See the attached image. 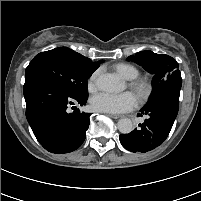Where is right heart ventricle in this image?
Listing matches in <instances>:
<instances>
[{
    "label": "right heart ventricle",
    "mask_w": 201,
    "mask_h": 201,
    "mask_svg": "<svg viewBox=\"0 0 201 201\" xmlns=\"http://www.w3.org/2000/svg\"><path fill=\"white\" fill-rule=\"evenodd\" d=\"M114 70L126 80H134L139 76L138 68L129 63H118Z\"/></svg>",
    "instance_id": "right-heart-ventricle-1"
}]
</instances>
